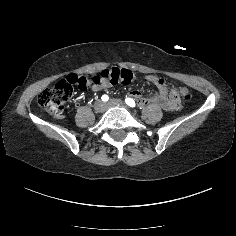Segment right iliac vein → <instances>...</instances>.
Wrapping results in <instances>:
<instances>
[{"label":"right iliac vein","mask_w":236,"mask_h":236,"mask_svg":"<svg viewBox=\"0 0 236 236\" xmlns=\"http://www.w3.org/2000/svg\"><path fill=\"white\" fill-rule=\"evenodd\" d=\"M104 109V104L101 100L97 101L95 104V111L101 112Z\"/></svg>","instance_id":"63e3f726"}]
</instances>
